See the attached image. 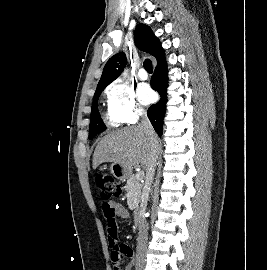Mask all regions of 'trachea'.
<instances>
[{"label":"trachea","mask_w":267,"mask_h":270,"mask_svg":"<svg viewBox=\"0 0 267 270\" xmlns=\"http://www.w3.org/2000/svg\"><path fill=\"white\" fill-rule=\"evenodd\" d=\"M144 68L148 73H152L153 68H152V61L150 59H146L144 61Z\"/></svg>","instance_id":"3493384b"}]
</instances>
